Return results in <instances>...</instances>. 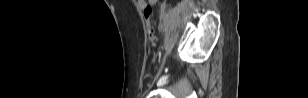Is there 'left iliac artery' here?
Here are the masks:
<instances>
[{
    "label": "left iliac artery",
    "instance_id": "44dca946",
    "mask_svg": "<svg viewBox=\"0 0 308 98\" xmlns=\"http://www.w3.org/2000/svg\"><path fill=\"white\" fill-rule=\"evenodd\" d=\"M157 29H158L159 31H163V32H164V30H165V25H164V24H159V25L157 26Z\"/></svg>",
    "mask_w": 308,
    "mask_h": 98
}]
</instances>
